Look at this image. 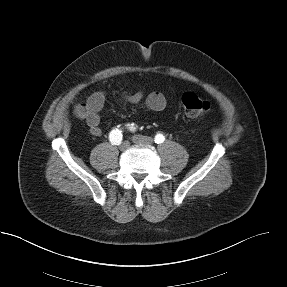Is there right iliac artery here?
Returning <instances> with one entry per match:
<instances>
[{
    "mask_svg": "<svg viewBox=\"0 0 287 287\" xmlns=\"http://www.w3.org/2000/svg\"><path fill=\"white\" fill-rule=\"evenodd\" d=\"M122 131L118 128L113 129L109 134V140L114 145H119L122 141Z\"/></svg>",
    "mask_w": 287,
    "mask_h": 287,
    "instance_id": "right-iliac-artery-1",
    "label": "right iliac artery"
}]
</instances>
